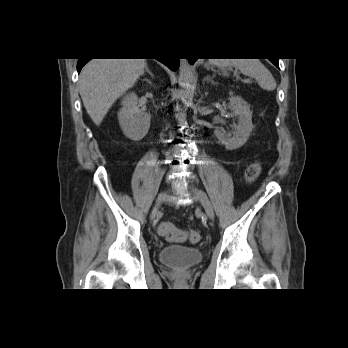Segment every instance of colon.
Wrapping results in <instances>:
<instances>
[{
	"mask_svg": "<svg viewBox=\"0 0 348 348\" xmlns=\"http://www.w3.org/2000/svg\"><path fill=\"white\" fill-rule=\"evenodd\" d=\"M261 173V164L259 162L252 163L246 170L245 177L248 182H254ZM158 234L169 241H185L188 240L192 244H196L200 240V234L195 230H180L171 222H162L158 225Z\"/></svg>",
	"mask_w": 348,
	"mask_h": 348,
	"instance_id": "colon-1",
	"label": "colon"
}]
</instances>
